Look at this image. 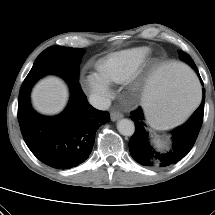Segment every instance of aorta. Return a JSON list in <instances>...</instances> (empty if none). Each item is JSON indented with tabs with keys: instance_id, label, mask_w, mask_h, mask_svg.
Returning a JSON list of instances; mask_svg holds the SVG:
<instances>
[{
	"instance_id": "762f6f07",
	"label": "aorta",
	"mask_w": 215,
	"mask_h": 215,
	"mask_svg": "<svg viewBox=\"0 0 215 215\" xmlns=\"http://www.w3.org/2000/svg\"><path fill=\"white\" fill-rule=\"evenodd\" d=\"M117 129L123 136H132L135 132V126L133 121L129 119H121L117 123Z\"/></svg>"
}]
</instances>
